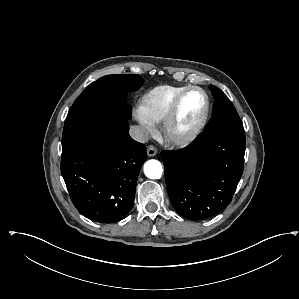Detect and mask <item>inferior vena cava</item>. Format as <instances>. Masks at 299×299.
I'll list each match as a JSON object with an SVG mask.
<instances>
[{"label":"inferior vena cava","mask_w":299,"mask_h":299,"mask_svg":"<svg viewBox=\"0 0 299 299\" xmlns=\"http://www.w3.org/2000/svg\"><path fill=\"white\" fill-rule=\"evenodd\" d=\"M130 136L135 141H138V142H141V143H145L150 139V134L147 131V129H145L142 126H138V125L132 126L130 128Z\"/></svg>","instance_id":"602c4592"}]
</instances>
